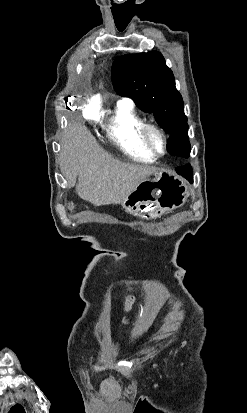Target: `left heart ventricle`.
Wrapping results in <instances>:
<instances>
[{
    "label": "left heart ventricle",
    "mask_w": 247,
    "mask_h": 413,
    "mask_svg": "<svg viewBox=\"0 0 247 413\" xmlns=\"http://www.w3.org/2000/svg\"><path fill=\"white\" fill-rule=\"evenodd\" d=\"M146 139L148 144L156 151L161 152L163 149V141L158 133L155 131H148L146 133Z\"/></svg>",
    "instance_id": "obj_1"
}]
</instances>
